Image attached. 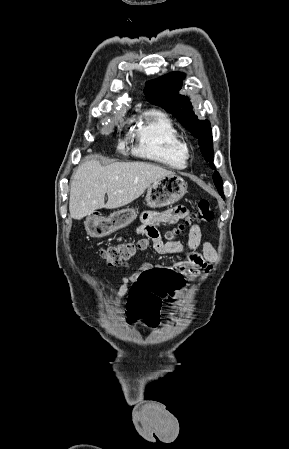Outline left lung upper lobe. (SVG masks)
Returning <instances> with one entry per match:
<instances>
[{
	"label": "left lung upper lobe",
	"mask_w": 289,
	"mask_h": 449,
	"mask_svg": "<svg viewBox=\"0 0 289 449\" xmlns=\"http://www.w3.org/2000/svg\"><path fill=\"white\" fill-rule=\"evenodd\" d=\"M184 74L173 72L158 79L146 83L144 89L147 100L164 108L173 114L199 140V146L210 167L216 169L213 164L212 129L208 120H199L192 110L188 97L182 96L179 91L182 88ZM213 180L220 195L224 198L223 182L217 171L213 174Z\"/></svg>",
	"instance_id": "obj_1"
}]
</instances>
